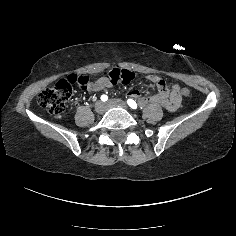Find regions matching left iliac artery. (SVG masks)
<instances>
[{"instance_id":"obj_1","label":"left iliac artery","mask_w":236,"mask_h":236,"mask_svg":"<svg viewBox=\"0 0 236 236\" xmlns=\"http://www.w3.org/2000/svg\"><path fill=\"white\" fill-rule=\"evenodd\" d=\"M127 104L132 108V109H137V104L134 100L128 99Z\"/></svg>"}]
</instances>
